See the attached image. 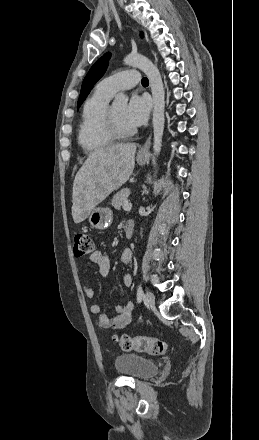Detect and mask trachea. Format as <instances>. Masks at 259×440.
Listing matches in <instances>:
<instances>
[{
  "mask_svg": "<svg viewBox=\"0 0 259 440\" xmlns=\"http://www.w3.org/2000/svg\"><path fill=\"white\" fill-rule=\"evenodd\" d=\"M142 84H143V85H148V79H147L146 77H144V78L142 79Z\"/></svg>",
  "mask_w": 259,
  "mask_h": 440,
  "instance_id": "obj_1",
  "label": "trachea"
}]
</instances>
